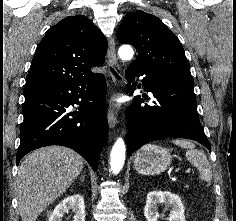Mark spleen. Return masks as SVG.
Masks as SVG:
<instances>
[{
    "mask_svg": "<svg viewBox=\"0 0 236 221\" xmlns=\"http://www.w3.org/2000/svg\"><path fill=\"white\" fill-rule=\"evenodd\" d=\"M174 144L187 149L186 157L188 161L200 172V178L209 182L212 179V171L205 153L197 150L193 142L184 139H176L172 141Z\"/></svg>",
    "mask_w": 236,
    "mask_h": 221,
    "instance_id": "1",
    "label": "spleen"
}]
</instances>
